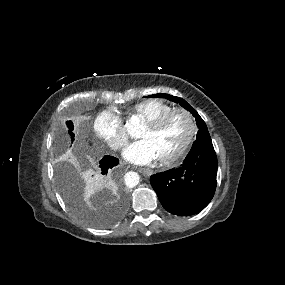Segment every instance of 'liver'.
<instances>
[{
  "label": "liver",
  "mask_w": 285,
  "mask_h": 285,
  "mask_svg": "<svg viewBox=\"0 0 285 285\" xmlns=\"http://www.w3.org/2000/svg\"><path fill=\"white\" fill-rule=\"evenodd\" d=\"M86 179H87L88 182H90V178H89L88 174H86Z\"/></svg>",
  "instance_id": "1"
}]
</instances>
